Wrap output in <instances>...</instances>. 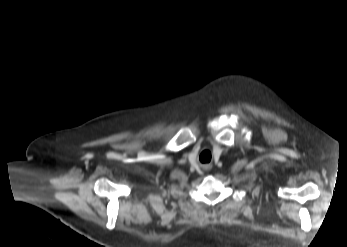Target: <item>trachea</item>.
<instances>
[{
	"label": "trachea",
	"instance_id": "obj_1",
	"mask_svg": "<svg viewBox=\"0 0 347 247\" xmlns=\"http://www.w3.org/2000/svg\"><path fill=\"white\" fill-rule=\"evenodd\" d=\"M203 155H206L209 159H211V154H210L209 151H203V152L201 153V156H203Z\"/></svg>",
	"mask_w": 347,
	"mask_h": 247
}]
</instances>
